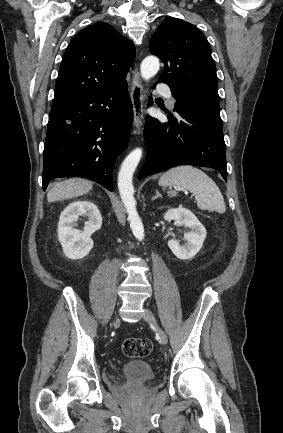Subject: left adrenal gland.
<instances>
[{"label": "left adrenal gland", "instance_id": "obj_1", "mask_svg": "<svg viewBox=\"0 0 283 433\" xmlns=\"http://www.w3.org/2000/svg\"><path fill=\"white\" fill-rule=\"evenodd\" d=\"M155 192H156V194H155V196H152V200H155V198H158V196H161V198H162V194H160V192H159V190H157V188H156Z\"/></svg>", "mask_w": 283, "mask_h": 433}]
</instances>
